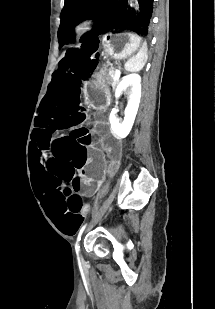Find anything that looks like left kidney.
<instances>
[{
	"label": "left kidney",
	"instance_id": "1",
	"mask_svg": "<svg viewBox=\"0 0 215 309\" xmlns=\"http://www.w3.org/2000/svg\"><path fill=\"white\" fill-rule=\"evenodd\" d=\"M140 82L139 74H128V76H123V80L119 82L116 88L115 96H120L123 90H127L128 86H132L129 92L128 104L124 110V120L120 122V118L116 116L117 108H112L110 112L109 120L112 132L117 138H125L134 124L141 96Z\"/></svg>",
	"mask_w": 215,
	"mask_h": 309
}]
</instances>
